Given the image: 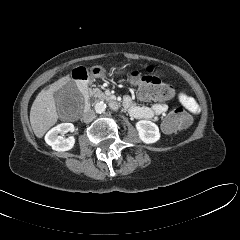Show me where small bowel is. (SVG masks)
I'll return each mask as SVG.
<instances>
[{"label": "small bowel", "mask_w": 240, "mask_h": 240, "mask_svg": "<svg viewBox=\"0 0 240 240\" xmlns=\"http://www.w3.org/2000/svg\"><path fill=\"white\" fill-rule=\"evenodd\" d=\"M148 71L152 72L153 70L148 68ZM177 99L188 111L192 113H197L199 111V106L195 99L186 93L179 92L177 94ZM123 105L130 115L137 119H153L164 115L168 110V105L166 103L157 102L150 106L140 105L134 102L129 96L123 98Z\"/></svg>", "instance_id": "1"}]
</instances>
